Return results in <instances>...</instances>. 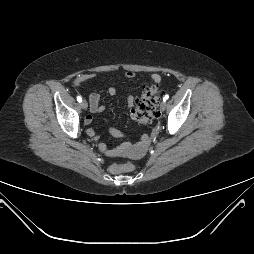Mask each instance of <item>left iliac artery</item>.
<instances>
[{
    "instance_id": "44dca946",
    "label": "left iliac artery",
    "mask_w": 254,
    "mask_h": 254,
    "mask_svg": "<svg viewBox=\"0 0 254 254\" xmlns=\"http://www.w3.org/2000/svg\"><path fill=\"white\" fill-rule=\"evenodd\" d=\"M169 96L168 95H165L164 98H163V101L166 102L168 100Z\"/></svg>"
}]
</instances>
